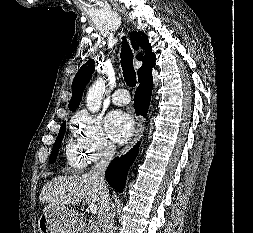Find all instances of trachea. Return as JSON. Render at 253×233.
<instances>
[{"mask_svg": "<svg viewBox=\"0 0 253 233\" xmlns=\"http://www.w3.org/2000/svg\"><path fill=\"white\" fill-rule=\"evenodd\" d=\"M121 67L123 70V76L126 84L129 87H135L136 73L133 67V53L126 39L123 40V45L121 49Z\"/></svg>", "mask_w": 253, "mask_h": 233, "instance_id": "3493384b", "label": "trachea"}]
</instances>
